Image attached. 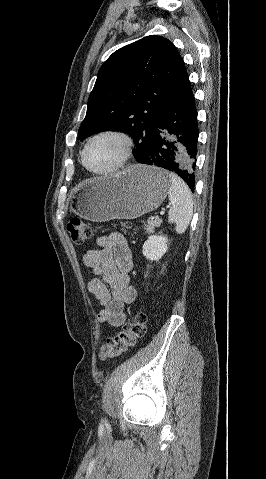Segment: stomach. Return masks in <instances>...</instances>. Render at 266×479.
I'll return each mask as SVG.
<instances>
[{
	"mask_svg": "<svg viewBox=\"0 0 266 479\" xmlns=\"http://www.w3.org/2000/svg\"><path fill=\"white\" fill-rule=\"evenodd\" d=\"M169 173L137 164L108 177L87 180L70 195V208L83 219H135L158 208L168 194Z\"/></svg>",
	"mask_w": 266,
	"mask_h": 479,
	"instance_id": "stomach-1",
	"label": "stomach"
}]
</instances>
